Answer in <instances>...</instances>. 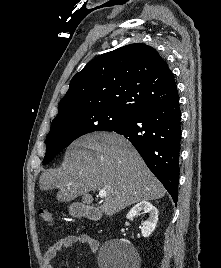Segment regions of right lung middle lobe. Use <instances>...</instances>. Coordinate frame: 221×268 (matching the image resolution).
<instances>
[{"instance_id": "obj_1", "label": "right lung middle lobe", "mask_w": 221, "mask_h": 268, "mask_svg": "<svg viewBox=\"0 0 221 268\" xmlns=\"http://www.w3.org/2000/svg\"><path fill=\"white\" fill-rule=\"evenodd\" d=\"M131 117L115 111L98 110L79 114L56 116L46 138L43 164L78 137L94 131H110L127 123Z\"/></svg>"}]
</instances>
